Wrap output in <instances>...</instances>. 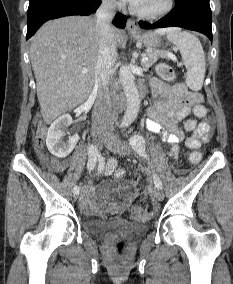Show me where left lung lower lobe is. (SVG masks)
Returning <instances> with one entry per match:
<instances>
[{
    "mask_svg": "<svg viewBox=\"0 0 233 284\" xmlns=\"http://www.w3.org/2000/svg\"><path fill=\"white\" fill-rule=\"evenodd\" d=\"M141 28L182 27L205 34L212 41L209 0H176L174 9L154 24L139 21Z\"/></svg>",
    "mask_w": 233,
    "mask_h": 284,
    "instance_id": "left-lung-lower-lobe-1",
    "label": "left lung lower lobe"
}]
</instances>
